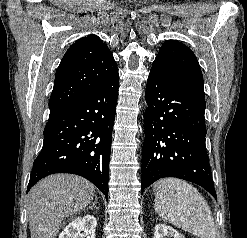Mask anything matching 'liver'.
Here are the masks:
<instances>
[{
  "label": "liver",
  "mask_w": 247,
  "mask_h": 238,
  "mask_svg": "<svg viewBox=\"0 0 247 238\" xmlns=\"http://www.w3.org/2000/svg\"><path fill=\"white\" fill-rule=\"evenodd\" d=\"M94 195L92 183L76 175L54 174L41 180L30 190L31 238H55L62 221L90 205Z\"/></svg>",
  "instance_id": "obj_1"
}]
</instances>
